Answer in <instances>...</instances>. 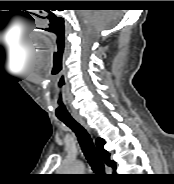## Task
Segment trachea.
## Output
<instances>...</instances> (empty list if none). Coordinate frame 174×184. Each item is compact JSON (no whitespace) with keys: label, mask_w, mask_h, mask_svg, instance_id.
I'll return each mask as SVG.
<instances>
[{"label":"trachea","mask_w":174,"mask_h":184,"mask_svg":"<svg viewBox=\"0 0 174 184\" xmlns=\"http://www.w3.org/2000/svg\"><path fill=\"white\" fill-rule=\"evenodd\" d=\"M64 124H66L69 128H71L80 143L82 151L88 160L92 170L96 173L104 172V164L99 157L93 141L87 131L77 123L73 118H59Z\"/></svg>","instance_id":"3493384b"}]
</instances>
